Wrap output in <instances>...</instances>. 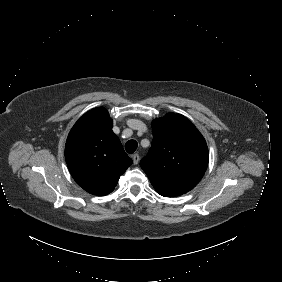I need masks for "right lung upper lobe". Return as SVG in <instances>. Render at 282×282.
<instances>
[{
    "label": "right lung upper lobe",
    "instance_id": "right-lung-upper-lobe-1",
    "mask_svg": "<svg viewBox=\"0 0 282 282\" xmlns=\"http://www.w3.org/2000/svg\"><path fill=\"white\" fill-rule=\"evenodd\" d=\"M112 127L108 111L94 108L75 123L66 141L65 159L72 177L97 196L111 193L132 164Z\"/></svg>",
    "mask_w": 282,
    "mask_h": 282
}]
</instances>
